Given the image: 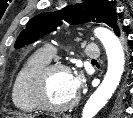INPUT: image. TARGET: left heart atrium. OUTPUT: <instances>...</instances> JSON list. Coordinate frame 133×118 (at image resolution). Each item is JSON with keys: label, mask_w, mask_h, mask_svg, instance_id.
<instances>
[{"label": "left heart atrium", "mask_w": 133, "mask_h": 118, "mask_svg": "<svg viewBox=\"0 0 133 118\" xmlns=\"http://www.w3.org/2000/svg\"><path fill=\"white\" fill-rule=\"evenodd\" d=\"M69 83H70V88L71 91L76 95L82 85V77L80 74H70V78H69Z\"/></svg>", "instance_id": "left-heart-atrium-1"}]
</instances>
